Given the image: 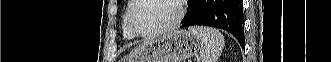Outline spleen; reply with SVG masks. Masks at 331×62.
<instances>
[{
    "label": "spleen",
    "mask_w": 331,
    "mask_h": 62,
    "mask_svg": "<svg viewBox=\"0 0 331 62\" xmlns=\"http://www.w3.org/2000/svg\"><path fill=\"white\" fill-rule=\"evenodd\" d=\"M188 30L201 41V61L216 62L224 47L223 35L216 29L201 26H192Z\"/></svg>",
    "instance_id": "3e777b00"
}]
</instances>
